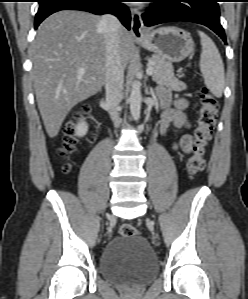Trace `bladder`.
I'll list each match as a JSON object with an SVG mask.
<instances>
[{"instance_id": "obj_1", "label": "bladder", "mask_w": 248, "mask_h": 299, "mask_svg": "<svg viewBox=\"0 0 248 299\" xmlns=\"http://www.w3.org/2000/svg\"><path fill=\"white\" fill-rule=\"evenodd\" d=\"M100 271L113 284L140 286L158 273L156 255L140 235L113 238L103 249Z\"/></svg>"}]
</instances>
